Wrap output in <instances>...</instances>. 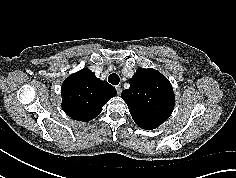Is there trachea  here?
<instances>
[{
  "label": "trachea",
  "mask_w": 236,
  "mask_h": 178,
  "mask_svg": "<svg viewBox=\"0 0 236 178\" xmlns=\"http://www.w3.org/2000/svg\"><path fill=\"white\" fill-rule=\"evenodd\" d=\"M108 81L113 85H118L120 82V78L116 73H112L109 75Z\"/></svg>",
  "instance_id": "obj_1"
}]
</instances>
